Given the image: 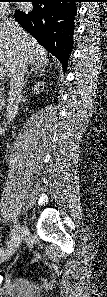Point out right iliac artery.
<instances>
[{
    "label": "right iliac artery",
    "mask_w": 107,
    "mask_h": 297,
    "mask_svg": "<svg viewBox=\"0 0 107 297\" xmlns=\"http://www.w3.org/2000/svg\"><path fill=\"white\" fill-rule=\"evenodd\" d=\"M13 231H14V234H16L17 235V237L19 238L20 237V232L16 229H13ZM4 251H6V249H4V248H1L0 249V256H2V254L4 253Z\"/></svg>",
    "instance_id": "obj_1"
}]
</instances>
